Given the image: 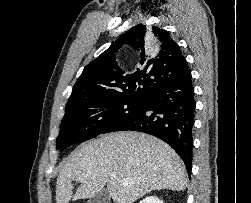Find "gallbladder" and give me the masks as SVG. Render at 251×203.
Returning a JSON list of instances; mask_svg holds the SVG:
<instances>
[{"label": "gallbladder", "instance_id": "bac80fb5", "mask_svg": "<svg viewBox=\"0 0 251 203\" xmlns=\"http://www.w3.org/2000/svg\"><path fill=\"white\" fill-rule=\"evenodd\" d=\"M109 202H110V196L106 188H104L101 192H99L97 195L88 200V203H109Z\"/></svg>", "mask_w": 251, "mask_h": 203}]
</instances>
